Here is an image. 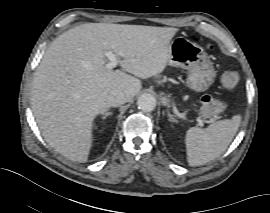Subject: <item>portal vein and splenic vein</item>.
<instances>
[{
    "label": "portal vein and splenic vein",
    "instance_id": "portal-vein-and-splenic-vein-1",
    "mask_svg": "<svg viewBox=\"0 0 270 213\" xmlns=\"http://www.w3.org/2000/svg\"><path fill=\"white\" fill-rule=\"evenodd\" d=\"M105 55L109 60V63L106 64L107 69H113L120 63V60L111 51H107ZM197 121L200 127L204 126L203 121L201 119L198 118Z\"/></svg>",
    "mask_w": 270,
    "mask_h": 213
}]
</instances>
